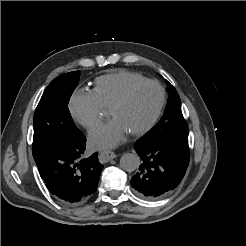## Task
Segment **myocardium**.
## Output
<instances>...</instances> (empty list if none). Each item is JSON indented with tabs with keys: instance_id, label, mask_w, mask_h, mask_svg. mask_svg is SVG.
Instances as JSON below:
<instances>
[{
	"instance_id": "myocardium-1",
	"label": "myocardium",
	"mask_w": 246,
	"mask_h": 246,
	"mask_svg": "<svg viewBox=\"0 0 246 246\" xmlns=\"http://www.w3.org/2000/svg\"><path fill=\"white\" fill-rule=\"evenodd\" d=\"M148 84L155 85L159 89L160 100H159L157 109L154 115L152 116V118L141 128L129 131V133L134 136H141V135L146 134L148 131H150L155 126V124L159 120L162 114V111L164 109L165 102H166V93H165L164 87L157 80H154V79H144L142 81L136 82L132 84L131 86H129L109 108V113L112 115V113L115 110L120 108L122 105H124L128 101V99L137 89H139L140 87L144 85H148Z\"/></svg>"
}]
</instances>
